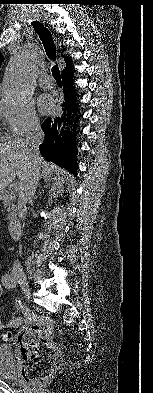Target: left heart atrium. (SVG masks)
Segmentation results:
<instances>
[{
	"label": "left heart atrium",
	"mask_w": 153,
	"mask_h": 393,
	"mask_svg": "<svg viewBox=\"0 0 153 393\" xmlns=\"http://www.w3.org/2000/svg\"><path fill=\"white\" fill-rule=\"evenodd\" d=\"M39 108L43 114L49 113L53 109L52 99L47 95L41 96L39 99Z\"/></svg>",
	"instance_id": "obj_1"
}]
</instances>
